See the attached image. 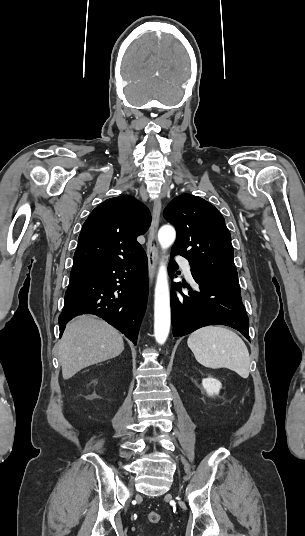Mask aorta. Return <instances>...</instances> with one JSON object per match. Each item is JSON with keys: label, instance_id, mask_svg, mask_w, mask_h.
<instances>
[{"label": "aorta", "instance_id": "1", "mask_svg": "<svg viewBox=\"0 0 305 536\" xmlns=\"http://www.w3.org/2000/svg\"><path fill=\"white\" fill-rule=\"evenodd\" d=\"M176 238L175 229L170 225L162 226L158 231V241L163 250L168 249ZM171 324L170 293L167 267L161 263L155 285L154 295V336L159 344L167 340Z\"/></svg>", "mask_w": 305, "mask_h": 536}]
</instances>
